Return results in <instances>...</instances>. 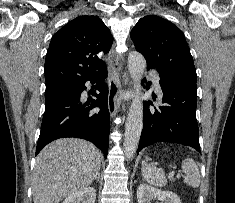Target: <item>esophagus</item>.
Wrapping results in <instances>:
<instances>
[{
    "instance_id": "obj_1",
    "label": "esophagus",
    "mask_w": 235,
    "mask_h": 203,
    "mask_svg": "<svg viewBox=\"0 0 235 203\" xmlns=\"http://www.w3.org/2000/svg\"><path fill=\"white\" fill-rule=\"evenodd\" d=\"M111 61V69L109 73V95H108V109L111 117H114L120 109V103L123 97L124 89L120 82V72L123 68L121 57L116 53L114 47L109 53Z\"/></svg>"
}]
</instances>
